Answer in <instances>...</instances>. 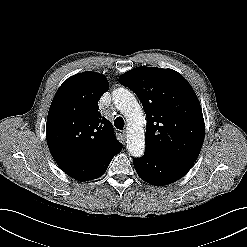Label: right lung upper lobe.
I'll list each match as a JSON object with an SVG mask.
<instances>
[{"label":"right lung upper lobe","mask_w":247,"mask_h":247,"mask_svg":"<svg viewBox=\"0 0 247 247\" xmlns=\"http://www.w3.org/2000/svg\"><path fill=\"white\" fill-rule=\"evenodd\" d=\"M108 88L106 77L95 72L76 74L59 87L46 124L47 144L56 162L89 164L122 146L111 122L98 111V100Z\"/></svg>","instance_id":"obj_1"}]
</instances>
